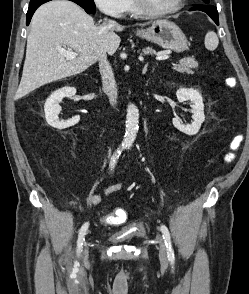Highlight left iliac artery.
<instances>
[{
  "label": "left iliac artery",
  "mask_w": 249,
  "mask_h": 294,
  "mask_svg": "<svg viewBox=\"0 0 249 294\" xmlns=\"http://www.w3.org/2000/svg\"><path fill=\"white\" fill-rule=\"evenodd\" d=\"M160 229H161V232L163 233V239L167 248L168 259L171 263H174L175 256H174V250L172 247L169 230L165 225H161Z\"/></svg>",
  "instance_id": "1"
}]
</instances>
